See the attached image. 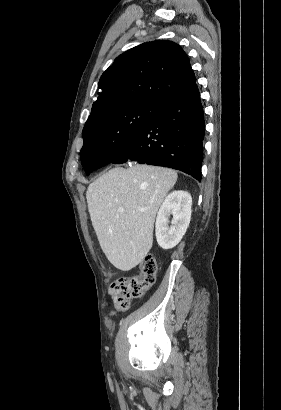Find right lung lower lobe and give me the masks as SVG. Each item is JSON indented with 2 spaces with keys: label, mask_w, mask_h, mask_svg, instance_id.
<instances>
[{
  "label": "right lung lower lobe",
  "mask_w": 281,
  "mask_h": 410,
  "mask_svg": "<svg viewBox=\"0 0 281 410\" xmlns=\"http://www.w3.org/2000/svg\"><path fill=\"white\" fill-rule=\"evenodd\" d=\"M204 111L198 88L160 105L138 137L112 163L171 167L201 181Z\"/></svg>",
  "instance_id": "1"
}]
</instances>
